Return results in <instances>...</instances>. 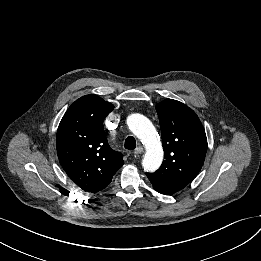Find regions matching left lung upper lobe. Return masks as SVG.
I'll use <instances>...</instances> for the list:
<instances>
[{"mask_svg": "<svg viewBox=\"0 0 261 261\" xmlns=\"http://www.w3.org/2000/svg\"><path fill=\"white\" fill-rule=\"evenodd\" d=\"M164 158L154 173H146L153 188L173 194L187 186L199 173L207 151V138L196 113L185 104L166 99L156 105Z\"/></svg>", "mask_w": 261, "mask_h": 261, "instance_id": "obj_1", "label": "left lung upper lobe"}]
</instances>
